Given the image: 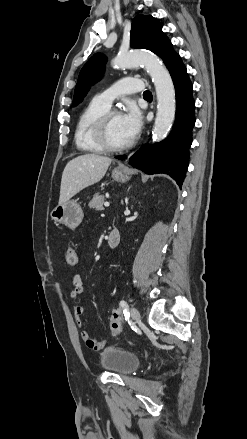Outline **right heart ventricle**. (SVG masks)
<instances>
[{
    "instance_id": "1",
    "label": "right heart ventricle",
    "mask_w": 247,
    "mask_h": 439,
    "mask_svg": "<svg viewBox=\"0 0 247 439\" xmlns=\"http://www.w3.org/2000/svg\"><path fill=\"white\" fill-rule=\"evenodd\" d=\"M109 108L98 100L93 99L82 111L74 133V141L79 150L88 153L104 152L95 139L94 131L98 119Z\"/></svg>"
}]
</instances>
